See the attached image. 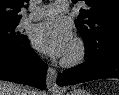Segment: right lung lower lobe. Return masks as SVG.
Here are the masks:
<instances>
[{
    "label": "right lung lower lobe",
    "mask_w": 119,
    "mask_h": 95,
    "mask_svg": "<svg viewBox=\"0 0 119 95\" xmlns=\"http://www.w3.org/2000/svg\"><path fill=\"white\" fill-rule=\"evenodd\" d=\"M47 65L31 48L27 36L18 43L0 45V80L46 88Z\"/></svg>",
    "instance_id": "1"
}]
</instances>
